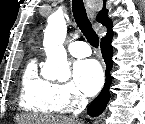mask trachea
Segmentation results:
<instances>
[{
    "label": "trachea",
    "instance_id": "obj_1",
    "mask_svg": "<svg viewBox=\"0 0 145 124\" xmlns=\"http://www.w3.org/2000/svg\"><path fill=\"white\" fill-rule=\"evenodd\" d=\"M72 12L77 26L93 47L99 45V37L92 28V24L87 17V13L82 0H72Z\"/></svg>",
    "mask_w": 145,
    "mask_h": 124
}]
</instances>
